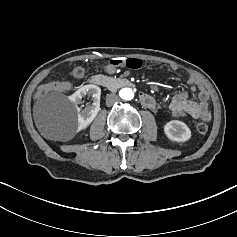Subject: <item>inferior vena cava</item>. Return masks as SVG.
Masks as SVG:
<instances>
[{"label": "inferior vena cava", "instance_id": "602c4592", "mask_svg": "<svg viewBox=\"0 0 237 237\" xmlns=\"http://www.w3.org/2000/svg\"><path fill=\"white\" fill-rule=\"evenodd\" d=\"M118 96L116 94H108L106 98V105L112 106L116 102H118Z\"/></svg>", "mask_w": 237, "mask_h": 237}]
</instances>
